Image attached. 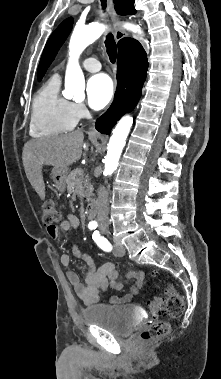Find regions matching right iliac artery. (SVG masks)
I'll list each match as a JSON object with an SVG mask.
<instances>
[{
  "mask_svg": "<svg viewBox=\"0 0 221 379\" xmlns=\"http://www.w3.org/2000/svg\"><path fill=\"white\" fill-rule=\"evenodd\" d=\"M88 227L90 230H93L97 227V225L95 223H89Z\"/></svg>",
  "mask_w": 221,
  "mask_h": 379,
  "instance_id": "1",
  "label": "right iliac artery"
}]
</instances>
